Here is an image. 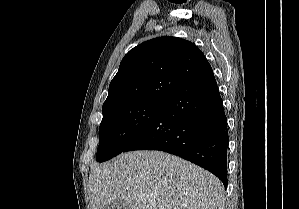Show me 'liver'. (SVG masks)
<instances>
[{
    "label": "liver",
    "instance_id": "liver-1",
    "mask_svg": "<svg viewBox=\"0 0 299 209\" xmlns=\"http://www.w3.org/2000/svg\"><path fill=\"white\" fill-rule=\"evenodd\" d=\"M91 209L121 199L132 209H224L225 191L210 172L161 151H132L89 175Z\"/></svg>",
    "mask_w": 299,
    "mask_h": 209
}]
</instances>
